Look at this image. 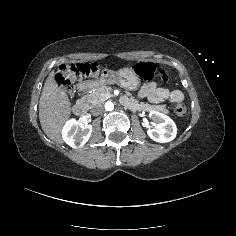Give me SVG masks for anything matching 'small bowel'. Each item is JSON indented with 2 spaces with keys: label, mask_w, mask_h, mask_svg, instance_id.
<instances>
[{
  "label": "small bowel",
  "mask_w": 236,
  "mask_h": 236,
  "mask_svg": "<svg viewBox=\"0 0 236 236\" xmlns=\"http://www.w3.org/2000/svg\"><path fill=\"white\" fill-rule=\"evenodd\" d=\"M139 95L140 97H146L152 103H159L164 100L179 103L184 99V94L181 91L158 88L155 82L145 84L141 88Z\"/></svg>",
  "instance_id": "1"
}]
</instances>
